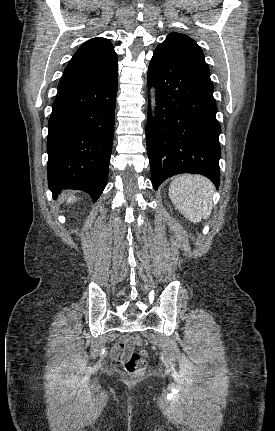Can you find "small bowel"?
I'll use <instances>...</instances> for the list:
<instances>
[{"label":"small bowel","mask_w":275,"mask_h":431,"mask_svg":"<svg viewBox=\"0 0 275 431\" xmlns=\"http://www.w3.org/2000/svg\"><path fill=\"white\" fill-rule=\"evenodd\" d=\"M130 350L131 346L125 344V339L117 341L111 350V358L113 362L116 364H120L123 359L127 357Z\"/></svg>","instance_id":"obj_1"}]
</instances>
